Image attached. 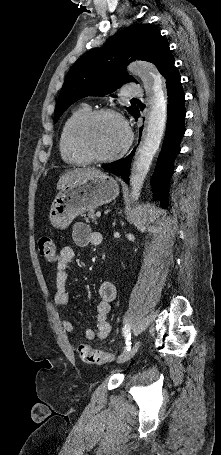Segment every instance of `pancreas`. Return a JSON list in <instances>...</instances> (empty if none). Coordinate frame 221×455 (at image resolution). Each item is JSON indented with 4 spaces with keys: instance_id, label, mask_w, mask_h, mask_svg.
I'll return each instance as SVG.
<instances>
[{
    "instance_id": "1",
    "label": "pancreas",
    "mask_w": 221,
    "mask_h": 455,
    "mask_svg": "<svg viewBox=\"0 0 221 455\" xmlns=\"http://www.w3.org/2000/svg\"><path fill=\"white\" fill-rule=\"evenodd\" d=\"M84 219L88 222L91 220L92 222H96V217L94 214V211H90L87 216L84 217Z\"/></svg>"
}]
</instances>
